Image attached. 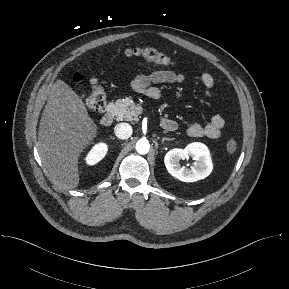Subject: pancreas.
Segmentation results:
<instances>
[{
  "instance_id": "cf45deb5",
  "label": "pancreas",
  "mask_w": 289,
  "mask_h": 289,
  "mask_svg": "<svg viewBox=\"0 0 289 289\" xmlns=\"http://www.w3.org/2000/svg\"><path fill=\"white\" fill-rule=\"evenodd\" d=\"M136 105L130 98L119 99L112 104V113L116 116L118 121H133L137 120Z\"/></svg>"
}]
</instances>
